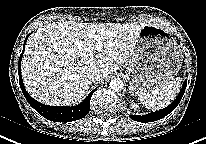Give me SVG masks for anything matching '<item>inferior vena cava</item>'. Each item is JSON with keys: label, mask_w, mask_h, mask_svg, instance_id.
Instances as JSON below:
<instances>
[{"label": "inferior vena cava", "mask_w": 206, "mask_h": 144, "mask_svg": "<svg viewBox=\"0 0 206 144\" xmlns=\"http://www.w3.org/2000/svg\"><path fill=\"white\" fill-rule=\"evenodd\" d=\"M87 77L92 82H97L101 79L102 75L99 69L90 68L87 73Z\"/></svg>", "instance_id": "obj_1"}]
</instances>
